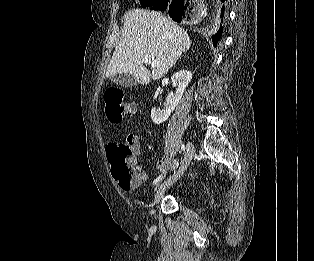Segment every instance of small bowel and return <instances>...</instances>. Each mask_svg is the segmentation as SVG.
Segmentation results:
<instances>
[{
  "instance_id": "small-bowel-1",
  "label": "small bowel",
  "mask_w": 314,
  "mask_h": 261,
  "mask_svg": "<svg viewBox=\"0 0 314 261\" xmlns=\"http://www.w3.org/2000/svg\"><path fill=\"white\" fill-rule=\"evenodd\" d=\"M130 138L133 139L136 145V153L134 155V162H135V170L137 173L140 174L141 176V182L144 180H147L148 176L147 174L143 171L142 167L139 165L138 161L140 158V142L136 137L129 136ZM156 169L158 170V175L155 177V179L152 181V187L156 186L160 181L164 178L167 170H168V165L167 161L164 158H159L156 162Z\"/></svg>"
}]
</instances>
